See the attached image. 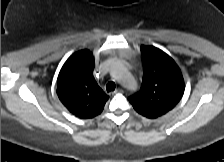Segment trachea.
<instances>
[{
    "label": "trachea",
    "mask_w": 224,
    "mask_h": 162,
    "mask_svg": "<svg viewBox=\"0 0 224 162\" xmlns=\"http://www.w3.org/2000/svg\"><path fill=\"white\" fill-rule=\"evenodd\" d=\"M115 87H116L115 83L110 81L106 85V90H107V92H111V91L115 90Z\"/></svg>",
    "instance_id": "3493384b"
}]
</instances>
